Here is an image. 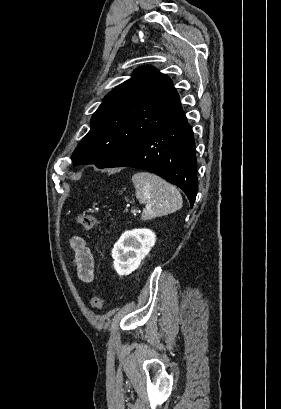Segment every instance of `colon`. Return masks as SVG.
<instances>
[{"label": "colon", "instance_id": "1", "mask_svg": "<svg viewBox=\"0 0 281 409\" xmlns=\"http://www.w3.org/2000/svg\"><path fill=\"white\" fill-rule=\"evenodd\" d=\"M76 219L79 223H81L86 229H92L97 224V219L95 216L85 213L79 212L76 214ZM104 307V299L103 295L100 291L96 292L93 298V308L96 313H101Z\"/></svg>", "mask_w": 281, "mask_h": 409}]
</instances>
